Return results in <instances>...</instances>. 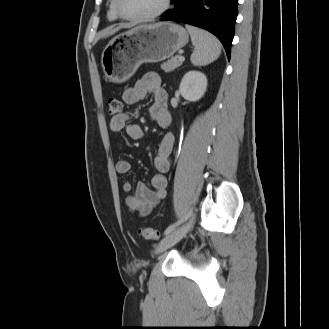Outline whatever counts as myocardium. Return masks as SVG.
<instances>
[{"label":"myocardium","instance_id":"f54148a6","mask_svg":"<svg viewBox=\"0 0 329 329\" xmlns=\"http://www.w3.org/2000/svg\"><path fill=\"white\" fill-rule=\"evenodd\" d=\"M170 5H171V0H164L161 8L152 14L144 15V16H129L123 13L121 9V0H115V10L118 16L121 17L122 19L132 22H145V21L156 19L161 15H163L170 8Z\"/></svg>","mask_w":329,"mask_h":329}]
</instances>
